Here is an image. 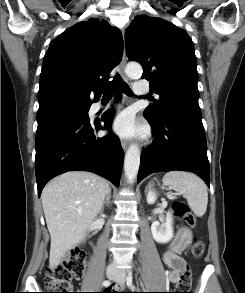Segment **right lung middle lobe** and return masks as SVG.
<instances>
[{
    "label": "right lung middle lobe",
    "instance_id": "right-lung-middle-lobe-1",
    "mask_svg": "<svg viewBox=\"0 0 245 293\" xmlns=\"http://www.w3.org/2000/svg\"><path fill=\"white\" fill-rule=\"evenodd\" d=\"M91 105L55 104L38 109V128L36 135L45 132L50 127L65 121H82L89 119L88 111Z\"/></svg>",
    "mask_w": 245,
    "mask_h": 293
}]
</instances>
